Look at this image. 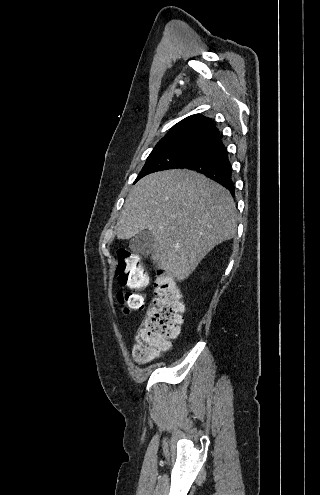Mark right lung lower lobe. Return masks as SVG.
Masks as SVG:
<instances>
[{
  "label": "right lung lower lobe",
  "mask_w": 320,
  "mask_h": 495,
  "mask_svg": "<svg viewBox=\"0 0 320 495\" xmlns=\"http://www.w3.org/2000/svg\"><path fill=\"white\" fill-rule=\"evenodd\" d=\"M178 168H187L202 173L223 185L233 196L235 195L228 152L219 134L206 141L194 155Z\"/></svg>",
  "instance_id": "obj_1"
}]
</instances>
